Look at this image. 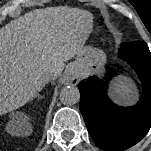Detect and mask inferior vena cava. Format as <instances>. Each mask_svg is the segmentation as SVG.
<instances>
[{
    "label": "inferior vena cava",
    "instance_id": "inferior-vena-cava-1",
    "mask_svg": "<svg viewBox=\"0 0 151 151\" xmlns=\"http://www.w3.org/2000/svg\"><path fill=\"white\" fill-rule=\"evenodd\" d=\"M59 73H60L59 70H54L53 75L56 76V75H58Z\"/></svg>",
    "mask_w": 151,
    "mask_h": 151
}]
</instances>
